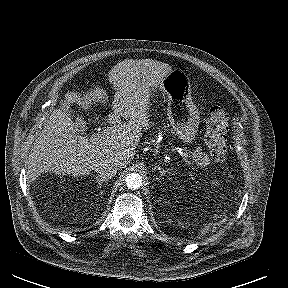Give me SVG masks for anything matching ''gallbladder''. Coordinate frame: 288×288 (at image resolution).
<instances>
[{"instance_id":"1","label":"gallbladder","mask_w":288,"mask_h":288,"mask_svg":"<svg viewBox=\"0 0 288 288\" xmlns=\"http://www.w3.org/2000/svg\"><path fill=\"white\" fill-rule=\"evenodd\" d=\"M61 107H62V109L64 110V112H69V115H71V109H69V107H68V105H67V103H62L61 104ZM85 126V121L83 120V118L82 117H76L75 118V127L76 128H83Z\"/></svg>"}]
</instances>
